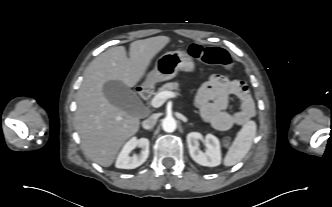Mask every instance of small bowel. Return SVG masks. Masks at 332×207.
<instances>
[{
	"mask_svg": "<svg viewBox=\"0 0 332 207\" xmlns=\"http://www.w3.org/2000/svg\"><path fill=\"white\" fill-rule=\"evenodd\" d=\"M230 95H235L240 101V108L235 113L226 111ZM195 105L202 118L219 131L244 124L255 113V105L247 84L225 74H214L208 78L196 94Z\"/></svg>",
	"mask_w": 332,
	"mask_h": 207,
	"instance_id": "obj_1",
	"label": "small bowel"
}]
</instances>
